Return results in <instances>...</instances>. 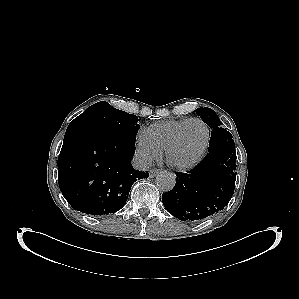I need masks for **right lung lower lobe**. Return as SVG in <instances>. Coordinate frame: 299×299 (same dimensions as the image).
Returning <instances> with one entry per match:
<instances>
[{"instance_id": "1", "label": "right lung lower lobe", "mask_w": 299, "mask_h": 299, "mask_svg": "<svg viewBox=\"0 0 299 299\" xmlns=\"http://www.w3.org/2000/svg\"><path fill=\"white\" fill-rule=\"evenodd\" d=\"M136 135L112 132L69 133L58 158V183L67 202L78 211L101 216L115 213L127 201L137 179L131 159Z\"/></svg>"}]
</instances>
